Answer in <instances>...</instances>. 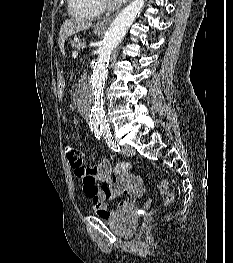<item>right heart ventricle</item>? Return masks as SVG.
I'll return each mask as SVG.
<instances>
[{
  "label": "right heart ventricle",
  "mask_w": 233,
  "mask_h": 263,
  "mask_svg": "<svg viewBox=\"0 0 233 263\" xmlns=\"http://www.w3.org/2000/svg\"><path fill=\"white\" fill-rule=\"evenodd\" d=\"M68 4L73 16L87 20L96 18L102 10L99 0H69Z\"/></svg>",
  "instance_id": "1"
}]
</instances>
